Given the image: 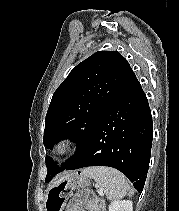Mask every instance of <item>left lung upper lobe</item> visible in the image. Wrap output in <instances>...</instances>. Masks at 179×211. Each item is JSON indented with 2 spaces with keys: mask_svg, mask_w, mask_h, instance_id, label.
<instances>
[{
  "mask_svg": "<svg viewBox=\"0 0 179 211\" xmlns=\"http://www.w3.org/2000/svg\"><path fill=\"white\" fill-rule=\"evenodd\" d=\"M132 69L116 51L96 52L78 64L54 92L45 118L44 145L52 149L61 139L78 143L76 153L61 168L46 157V181L66 169L86 148L105 109Z\"/></svg>",
  "mask_w": 179,
  "mask_h": 211,
  "instance_id": "left-lung-upper-lobe-1",
  "label": "left lung upper lobe"
}]
</instances>
